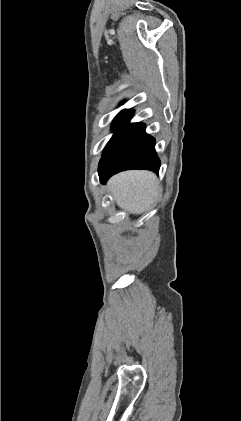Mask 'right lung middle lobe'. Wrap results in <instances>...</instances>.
I'll return each mask as SVG.
<instances>
[{"label": "right lung middle lobe", "instance_id": "dd1d6c3e", "mask_svg": "<svg viewBox=\"0 0 241 421\" xmlns=\"http://www.w3.org/2000/svg\"><path fill=\"white\" fill-rule=\"evenodd\" d=\"M131 110H124L122 112H120L114 119L113 121V125H112V130L115 131L113 137L110 139V141L108 142V144L106 145L103 154L105 153V151L108 149V147L111 145V143L113 142V140L116 138V136L118 135V133L120 132L121 128L123 127L124 123L126 122V120L128 119V117L130 116Z\"/></svg>", "mask_w": 241, "mask_h": 421}]
</instances>
